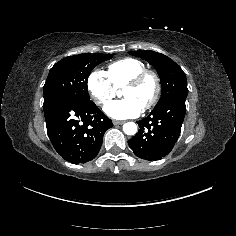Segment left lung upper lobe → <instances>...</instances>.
<instances>
[{
  "mask_svg": "<svg viewBox=\"0 0 236 236\" xmlns=\"http://www.w3.org/2000/svg\"><path fill=\"white\" fill-rule=\"evenodd\" d=\"M148 61L158 72L161 79L162 95L155 107L176 96H187V81L183 70L169 57L150 50L129 52Z\"/></svg>",
  "mask_w": 236,
  "mask_h": 236,
  "instance_id": "5c2ea615",
  "label": "left lung upper lobe"
}]
</instances>
